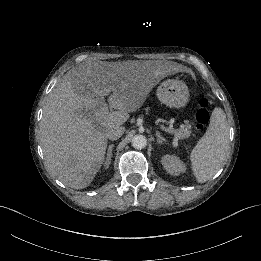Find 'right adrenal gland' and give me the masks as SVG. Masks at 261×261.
<instances>
[{"label":"right adrenal gland","instance_id":"right-adrenal-gland-1","mask_svg":"<svg viewBox=\"0 0 261 261\" xmlns=\"http://www.w3.org/2000/svg\"><path fill=\"white\" fill-rule=\"evenodd\" d=\"M114 147V144H111L108 146V149H107V157H106V160L104 162V166H105V169H108L109 168V165L111 164V159H112V149Z\"/></svg>","mask_w":261,"mask_h":261}]
</instances>
